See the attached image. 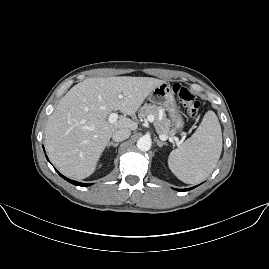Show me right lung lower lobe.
Listing matches in <instances>:
<instances>
[{
	"mask_svg": "<svg viewBox=\"0 0 269 269\" xmlns=\"http://www.w3.org/2000/svg\"><path fill=\"white\" fill-rule=\"evenodd\" d=\"M56 171H57V170H56ZM57 172H58V171H57ZM58 174H59L61 177H63L65 180H67L68 182H70V183H72V184H74V185H77V186H89V185H90V184H84V183H80V182H76V181L70 180V179L64 177L63 175H61L59 172H58Z\"/></svg>",
	"mask_w": 269,
	"mask_h": 269,
	"instance_id": "1",
	"label": "right lung lower lobe"
}]
</instances>
